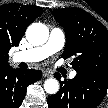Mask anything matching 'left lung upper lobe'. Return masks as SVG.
<instances>
[{
  "label": "left lung upper lobe",
  "instance_id": "1",
  "mask_svg": "<svg viewBox=\"0 0 108 108\" xmlns=\"http://www.w3.org/2000/svg\"><path fill=\"white\" fill-rule=\"evenodd\" d=\"M63 26L66 45L62 57L74 56L77 73L108 70V31L102 23L79 8L52 11Z\"/></svg>",
  "mask_w": 108,
  "mask_h": 108
}]
</instances>
